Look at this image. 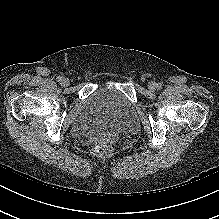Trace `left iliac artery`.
Here are the masks:
<instances>
[{
  "instance_id": "obj_1",
  "label": "left iliac artery",
  "mask_w": 219,
  "mask_h": 219,
  "mask_svg": "<svg viewBox=\"0 0 219 219\" xmlns=\"http://www.w3.org/2000/svg\"><path fill=\"white\" fill-rule=\"evenodd\" d=\"M157 89H159V90L162 89V84L161 83L157 84Z\"/></svg>"
}]
</instances>
